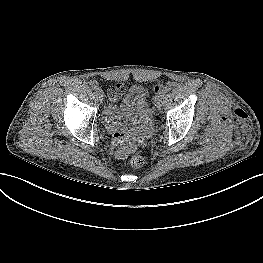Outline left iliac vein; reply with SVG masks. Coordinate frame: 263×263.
Returning <instances> with one entry per match:
<instances>
[{
    "mask_svg": "<svg viewBox=\"0 0 263 263\" xmlns=\"http://www.w3.org/2000/svg\"><path fill=\"white\" fill-rule=\"evenodd\" d=\"M155 103H161V97H156L155 98Z\"/></svg>",
    "mask_w": 263,
    "mask_h": 263,
    "instance_id": "1",
    "label": "left iliac vein"
}]
</instances>
